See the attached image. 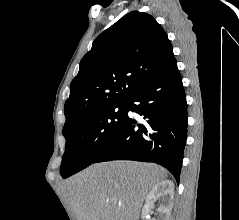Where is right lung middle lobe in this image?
<instances>
[{"label":"right lung middle lobe","instance_id":"right-lung-middle-lobe-1","mask_svg":"<svg viewBox=\"0 0 239 220\" xmlns=\"http://www.w3.org/2000/svg\"><path fill=\"white\" fill-rule=\"evenodd\" d=\"M126 116L123 102L94 110L64 129L66 145L61 176L67 178L94 163L119 131Z\"/></svg>","mask_w":239,"mask_h":220}]
</instances>
